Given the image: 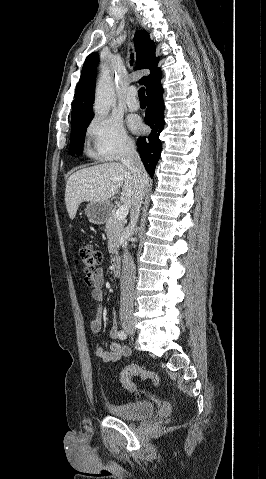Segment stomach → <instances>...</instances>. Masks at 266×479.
<instances>
[{
    "mask_svg": "<svg viewBox=\"0 0 266 479\" xmlns=\"http://www.w3.org/2000/svg\"><path fill=\"white\" fill-rule=\"evenodd\" d=\"M111 205L108 202H89L85 213L93 224H102L110 216Z\"/></svg>",
    "mask_w": 266,
    "mask_h": 479,
    "instance_id": "stomach-1",
    "label": "stomach"
}]
</instances>
